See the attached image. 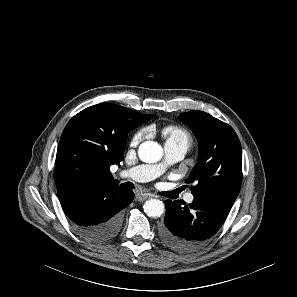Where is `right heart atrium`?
<instances>
[{
	"label": "right heart atrium",
	"mask_w": 297,
	"mask_h": 297,
	"mask_svg": "<svg viewBox=\"0 0 297 297\" xmlns=\"http://www.w3.org/2000/svg\"><path fill=\"white\" fill-rule=\"evenodd\" d=\"M144 136H145V131L141 130L137 132L132 138V145L133 146L138 145L140 141L144 138Z\"/></svg>",
	"instance_id": "d8ad5b80"
}]
</instances>
